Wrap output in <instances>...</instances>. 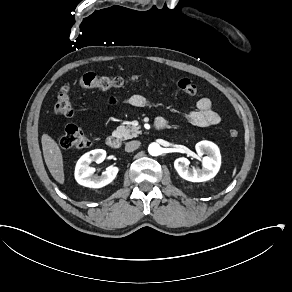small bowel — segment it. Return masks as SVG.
<instances>
[{
    "label": "small bowel",
    "instance_id": "1",
    "mask_svg": "<svg viewBox=\"0 0 292 292\" xmlns=\"http://www.w3.org/2000/svg\"><path fill=\"white\" fill-rule=\"evenodd\" d=\"M106 101L110 106H116L119 103V99L114 94H110ZM96 102L98 111L101 112L104 108L103 97L97 95ZM122 102L136 108H146L150 105L149 99L142 94L129 95L125 97ZM184 118L188 123L200 127L217 125L221 121L220 114L213 109L212 101L206 97L201 98L197 102L195 110L186 112Z\"/></svg>",
    "mask_w": 292,
    "mask_h": 292
}]
</instances>
